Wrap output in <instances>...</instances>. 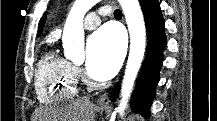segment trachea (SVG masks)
<instances>
[{
    "instance_id": "trachea-1",
    "label": "trachea",
    "mask_w": 217,
    "mask_h": 121,
    "mask_svg": "<svg viewBox=\"0 0 217 121\" xmlns=\"http://www.w3.org/2000/svg\"><path fill=\"white\" fill-rule=\"evenodd\" d=\"M114 16H115V17H121V16H122V11L119 10V9H116V10L114 11Z\"/></svg>"
}]
</instances>
